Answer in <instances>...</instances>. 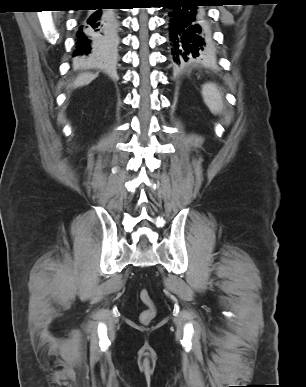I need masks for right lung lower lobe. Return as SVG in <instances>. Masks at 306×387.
Listing matches in <instances>:
<instances>
[{
	"mask_svg": "<svg viewBox=\"0 0 306 387\" xmlns=\"http://www.w3.org/2000/svg\"><path fill=\"white\" fill-rule=\"evenodd\" d=\"M117 19L112 9L86 11L77 31L73 57L81 64L109 63L116 53Z\"/></svg>",
	"mask_w": 306,
	"mask_h": 387,
	"instance_id": "obj_1",
	"label": "right lung lower lobe"
}]
</instances>
